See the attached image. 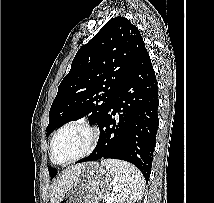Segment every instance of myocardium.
<instances>
[{
  "label": "myocardium",
  "mask_w": 214,
  "mask_h": 203,
  "mask_svg": "<svg viewBox=\"0 0 214 203\" xmlns=\"http://www.w3.org/2000/svg\"><path fill=\"white\" fill-rule=\"evenodd\" d=\"M72 127H81V128H84L86 129L89 133H90V143L89 145L87 146V148L82 152L80 153L79 155H77L76 157H74L73 159L67 161V162H64V163H59L55 160L54 158V148H55V144H56V141H57V138L59 137V135L69 129V128H72ZM99 130L97 129V127H95L94 125L88 123V122H84V121H74V122H71V123H68L64 126H62L60 129H58L53 138H52V141H51V148H50V158H51V161L54 163V164H57V165H61V166H65V165H69V164H72L74 162H77L79 161L80 159L88 156L96 147L98 141H99Z\"/></svg>",
  "instance_id": "myocardium-1"
}]
</instances>
